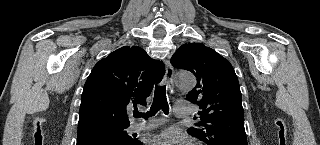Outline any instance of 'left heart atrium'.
Masks as SVG:
<instances>
[{
	"instance_id": "obj_1",
	"label": "left heart atrium",
	"mask_w": 320,
	"mask_h": 145,
	"mask_svg": "<svg viewBox=\"0 0 320 145\" xmlns=\"http://www.w3.org/2000/svg\"><path fill=\"white\" fill-rule=\"evenodd\" d=\"M151 145H190L188 137L176 129H166L149 139Z\"/></svg>"
}]
</instances>
